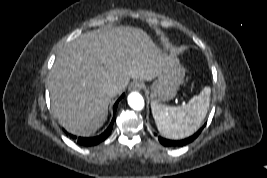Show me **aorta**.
Instances as JSON below:
<instances>
[{
  "mask_svg": "<svg viewBox=\"0 0 267 178\" xmlns=\"http://www.w3.org/2000/svg\"><path fill=\"white\" fill-rule=\"evenodd\" d=\"M129 106L134 110H141L144 107V99L138 92H132L127 98Z\"/></svg>",
  "mask_w": 267,
  "mask_h": 178,
  "instance_id": "obj_1",
  "label": "aorta"
}]
</instances>
